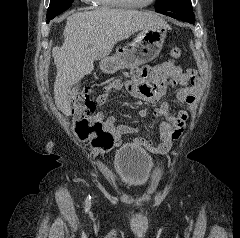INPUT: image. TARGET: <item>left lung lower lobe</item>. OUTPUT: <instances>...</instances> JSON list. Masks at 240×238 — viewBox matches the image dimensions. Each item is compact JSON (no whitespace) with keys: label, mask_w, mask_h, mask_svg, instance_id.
I'll use <instances>...</instances> for the list:
<instances>
[{"label":"left lung lower lobe","mask_w":240,"mask_h":238,"mask_svg":"<svg viewBox=\"0 0 240 238\" xmlns=\"http://www.w3.org/2000/svg\"><path fill=\"white\" fill-rule=\"evenodd\" d=\"M160 13L170 16L172 18L178 19V20L188 22L190 24L195 23V17H189V16L178 14V13H172V12H160Z\"/></svg>","instance_id":"1"}]
</instances>
